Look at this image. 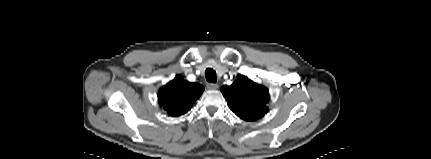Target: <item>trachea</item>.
<instances>
[{"instance_id":"trachea-1","label":"trachea","mask_w":431,"mask_h":159,"mask_svg":"<svg viewBox=\"0 0 431 159\" xmlns=\"http://www.w3.org/2000/svg\"><path fill=\"white\" fill-rule=\"evenodd\" d=\"M205 77L208 82L215 83L216 82V72L212 68H207L205 71Z\"/></svg>"}]
</instances>
